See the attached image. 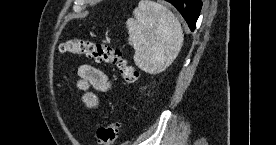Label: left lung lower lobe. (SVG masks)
Returning a JSON list of instances; mask_svg holds the SVG:
<instances>
[{"label": "left lung lower lobe", "mask_w": 276, "mask_h": 145, "mask_svg": "<svg viewBox=\"0 0 276 145\" xmlns=\"http://www.w3.org/2000/svg\"><path fill=\"white\" fill-rule=\"evenodd\" d=\"M182 14L191 31L195 29L196 21L202 7L201 0H166Z\"/></svg>", "instance_id": "obj_1"}]
</instances>
